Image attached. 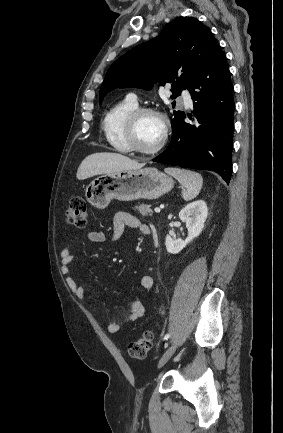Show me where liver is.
Returning a JSON list of instances; mask_svg holds the SVG:
<instances>
[{"label":"liver","instance_id":"1","mask_svg":"<svg viewBox=\"0 0 283 433\" xmlns=\"http://www.w3.org/2000/svg\"><path fill=\"white\" fill-rule=\"evenodd\" d=\"M145 162H137L129 156L119 154V152H94L88 154L78 166L77 178H89L95 174H111V172H120V170H137L142 168Z\"/></svg>","mask_w":283,"mask_h":433}]
</instances>
